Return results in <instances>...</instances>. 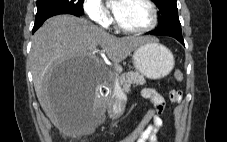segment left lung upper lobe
I'll list each match as a JSON object with an SVG mask.
<instances>
[{
	"label": "left lung upper lobe",
	"mask_w": 227,
	"mask_h": 142,
	"mask_svg": "<svg viewBox=\"0 0 227 142\" xmlns=\"http://www.w3.org/2000/svg\"><path fill=\"white\" fill-rule=\"evenodd\" d=\"M157 4L158 30H173L181 32V24L178 18L176 0H154Z\"/></svg>",
	"instance_id": "5c2ea615"
}]
</instances>
